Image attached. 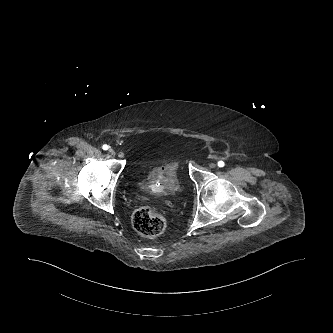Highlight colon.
<instances>
[{
	"mask_svg": "<svg viewBox=\"0 0 333 333\" xmlns=\"http://www.w3.org/2000/svg\"><path fill=\"white\" fill-rule=\"evenodd\" d=\"M132 224L141 235L153 238L161 235L166 229L165 217L150 208L136 210L132 216Z\"/></svg>",
	"mask_w": 333,
	"mask_h": 333,
	"instance_id": "colon-1",
	"label": "colon"
}]
</instances>
